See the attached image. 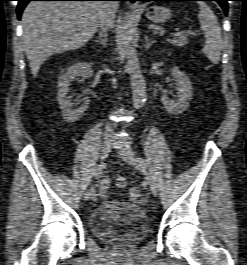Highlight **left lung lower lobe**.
Segmentation results:
<instances>
[{
  "label": "left lung lower lobe",
  "mask_w": 247,
  "mask_h": 265,
  "mask_svg": "<svg viewBox=\"0 0 247 265\" xmlns=\"http://www.w3.org/2000/svg\"><path fill=\"white\" fill-rule=\"evenodd\" d=\"M136 1H177V0H136ZM191 1H216L220 4V6L223 8L225 14L228 13V5L227 1L229 0H191Z\"/></svg>",
  "instance_id": "left-lung-lower-lobe-1"
}]
</instances>
